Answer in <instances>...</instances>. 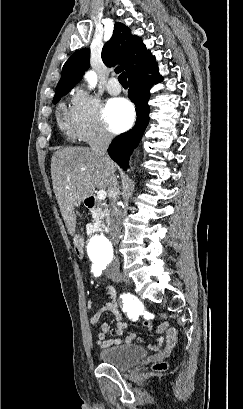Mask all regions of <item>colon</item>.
I'll use <instances>...</instances> for the list:
<instances>
[{"label": "colon", "mask_w": 243, "mask_h": 409, "mask_svg": "<svg viewBox=\"0 0 243 409\" xmlns=\"http://www.w3.org/2000/svg\"><path fill=\"white\" fill-rule=\"evenodd\" d=\"M74 251L78 257H82L84 254V242L80 236L74 238ZM167 368L166 362H157L153 365V369L157 371H162Z\"/></svg>", "instance_id": "1"}]
</instances>
